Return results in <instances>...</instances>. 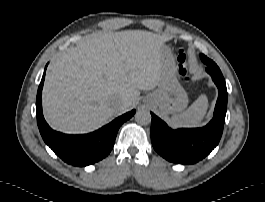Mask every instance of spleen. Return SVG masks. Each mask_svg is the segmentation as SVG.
Here are the masks:
<instances>
[{"label": "spleen", "instance_id": "obj_1", "mask_svg": "<svg viewBox=\"0 0 265 202\" xmlns=\"http://www.w3.org/2000/svg\"><path fill=\"white\" fill-rule=\"evenodd\" d=\"M208 108L206 95H201L185 112L174 115L171 118L173 125L177 127H199Z\"/></svg>", "mask_w": 265, "mask_h": 202}]
</instances>
